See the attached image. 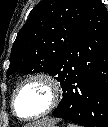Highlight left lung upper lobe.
I'll return each mask as SVG.
<instances>
[{
  "mask_svg": "<svg viewBox=\"0 0 108 127\" xmlns=\"http://www.w3.org/2000/svg\"><path fill=\"white\" fill-rule=\"evenodd\" d=\"M89 0H42L13 44L7 75L46 72L63 85V66Z\"/></svg>",
  "mask_w": 108,
  "mask_h": 127,
  "instance_id": "5c2ea615",
  "label": "left lung upper lobe"
}]
</instances>
